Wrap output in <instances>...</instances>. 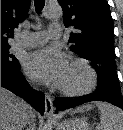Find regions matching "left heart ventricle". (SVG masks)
<instances>
[{
    "label": "left heart ventricle",
    "instance_id": "obj_1",
    "mask_svg": "<svg viewBox=\"0 0 123 130\" xmlns=\"http://www.w3.org/2000/svg\"><path fill=\"white\" fill-rule=\"evenodd\" d=\"M87 79L88 75L83 69L68 66L59 85L67 87H80L87 82Z\"/></svg>",
    "mask_w": 123,
    "mask_h": 130
}]
</instances>
